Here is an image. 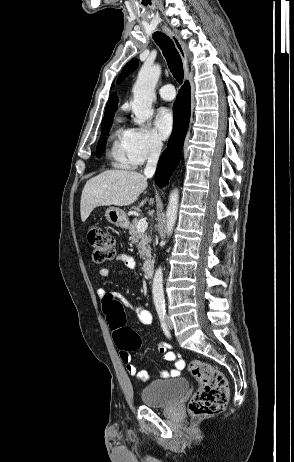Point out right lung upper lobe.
Masks as SVG:
<instances>
[{
	"mask_svg": "<svg viewBox=\"0 0 294 462\" xmlns=\"http://www.w3.org/2000/svg\"><path fill=\"white\" fill-rule=\"evenodd\" d=\"M117 103H118V98L114 93L111 95V97L108 100L106 111H105V116L113 115V113L117 109Z\"/></svg>",
	"mask_w": 294,
	"mask_h": 462,
	"instance_id": "obj_1",
	"label": "right lung upper lobe"
}]
</instances>
